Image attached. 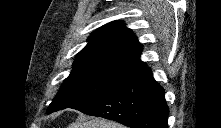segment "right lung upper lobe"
Wrapping results in <instances>:
<instances>
[{
    "label": "right lung upper lobe",
    "instance_id": "right-lung-upper-lobe-1",
    "mask_svg": "<svg viewBox=\"0 0 221 128\" xmlns=\"http://www.w3.org/2000/svg\"><path fill=\"white\" fill-rule=\"evenodd\" d=\"M142 45L121 21L95 30L77 54L73 70L95 69L128 77L147 65L140 60Z\"/></svg>",
    "mask_w": 221,
    "mask_h": 128
}]
</instances>
